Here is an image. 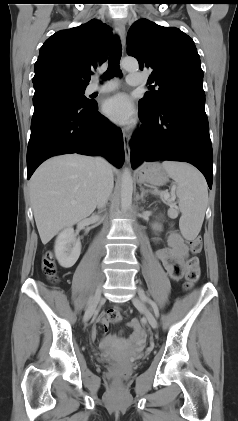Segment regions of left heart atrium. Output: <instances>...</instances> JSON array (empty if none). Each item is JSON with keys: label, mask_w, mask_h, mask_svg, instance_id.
Here are the masks:
<instances>
[{"label": "left heart atrium", "mask_w": 238, "mask_h": 421, "mask_svg": "<svg viewBox=\"0 0 238 421\" xmlns=\"http://www.w3.org/2000/svg\"><path fill=\"white\" fill-rule=\"evenodd\" d=\"M103 113L113 122L128 124L133 121V105L125 94H116L106 99L102 105Z\"/></svg>", "instance_id": "obj_1"}]
</instances>
